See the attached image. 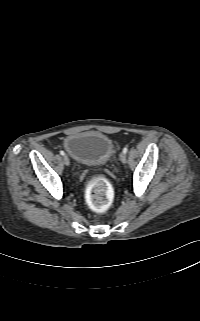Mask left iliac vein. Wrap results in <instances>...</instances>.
<instances>
[{"label":"left iliac vein","mask_w":200,"mask_h":321,"mask_svg":"<svg viewBox=\"0 0 200 321\" xmlns=\"http://www.w3.org/2000/svg\"><path fill=\"white\" fill-rule=\"evenodd\" d=\"M120 160H121L122 163H126L127 158H126V154L124 152H122L120 154Z\"/></svg>","instance_id":"4c4485c4"}]
</instances>
